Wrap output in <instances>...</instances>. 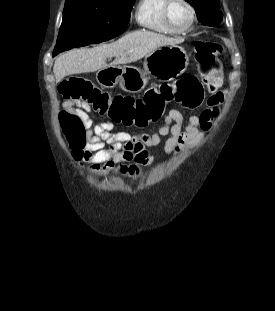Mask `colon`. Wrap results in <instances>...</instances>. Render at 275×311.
<instances>
[{"label": "colon", "mask_w": 275, "mask_h": 311, "mask_svg": "<svg viewBox=\"0 0 275 311\" xmlns=\"http://www.w3.org/2000/svg\"><path fill=\"white\" fill-rule=\"evenodd\" d=\"M195 50L202 78L207 79L220 73L222 64L219 57L223 53L221 44L199 41ZM60 93L66 101L92 105L102 112V117H106L107 121H113L114 125H136L137 129H148L150 121H161L168 104L177 103L186 108H197L204 99L202 83L195 75L160 85L137 100L135 97H110L89 80L78 76L66 78L61 83ZM60 120L70 143L81 148L85 139V126L79 115L62 111Z\"/></svg>", "instance_id": "1"}]
</instances>
